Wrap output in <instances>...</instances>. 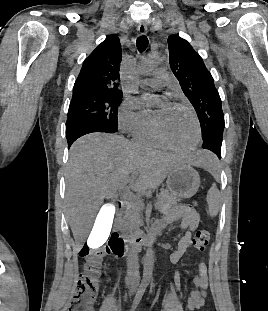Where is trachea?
I'll list each match as a JSON object with an SVG mask.
<instances>
[{
  "label": "trachea",
  "mask_w": 268,
  "mask_h": 311,
  "mask_svg": "<svg viewBox=\"0 0 268 311\" xmlns=\"http://www.w3.org/2000/svg\"><path fill=\"white\" fill-rule=\"evenodd\" d=\"M137 49L140 53L144 52L148 47V38L145 35H142L137 38L136 41Z\"/></svg>",
  "instance_id": "1"
}]
</instances>
